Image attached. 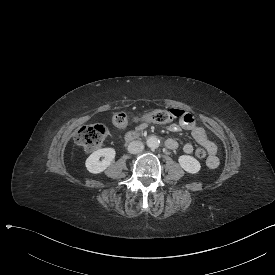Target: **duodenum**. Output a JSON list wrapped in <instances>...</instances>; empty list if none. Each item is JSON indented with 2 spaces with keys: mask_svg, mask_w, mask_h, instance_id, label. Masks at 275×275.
<instances>
[{
  "mask_svg": "<svg viewBox=\"0 0 275 275\" xmlns=\"http://www.w3.org/2000/svg\"><path fill=\"white\" fill-rule=\"evenodd\" d=\"M140 135H141V133L138 131L129 132L126 134L125 140L127 142H131L133 140H136Z\"/></svg>",
  "mask_w": 275,
  "mask_h": 275,
  "instance_id": "410a0bca",
  "label": "duodenum"
}]
</instances>
